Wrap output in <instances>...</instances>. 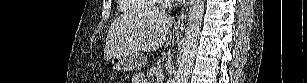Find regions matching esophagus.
<instances>
[{
    "mask_svg": "<svg viewBox=\"0 0 307 83\" xmlns=\"http://www.w3.org/2000/svg\"><path fill=\"white\" fill-rule=\"evenodd\" d=\"M188 4H189V1H186L177 17V27L180 29H183L185 27V23L187 19Z\"/></svg>",
    "mask_w": 307,
    "mask_h": 83,
    "instance_id": "1",
    "label": "esophagus"
}]
</instances>
